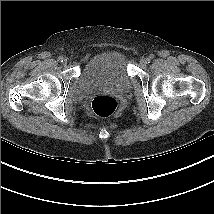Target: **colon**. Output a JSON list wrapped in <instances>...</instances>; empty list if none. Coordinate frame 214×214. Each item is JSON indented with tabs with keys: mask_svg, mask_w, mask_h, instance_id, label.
Returning a JSON list of instances; mask_svg holds the SVG:
<instances>
[{
	"mask_svg": "<svg viewBox=\"0 0 214 214\" xmlns=\"http://www.w3.org/2000/svg\"><path fill=\"white\" fill-rule=\"evenodd\" d=\"M118 107V101L111 95H97L92 100V109L100 117L111 116Z\"/></svg>",
	"mask_w": 214,
	"mask_h": 214,
	"instance_id": "colon-1",
	"label": "colon"
}]
</instances>
